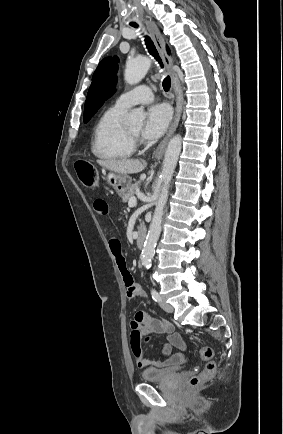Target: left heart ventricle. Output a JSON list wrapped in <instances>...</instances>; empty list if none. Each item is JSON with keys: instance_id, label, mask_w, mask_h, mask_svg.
<instances>
[{"instance_id": "b2bd125f", "label": "left heart ventricle", "mask_w": 283, "mask_h": 434, "mask_svg": "<svg viewBox=\"0 0 283 434\" xmlns=\"http://www.w3.org/2000/svg\"><path fill=\"white\" fill-rule=\"evenodd\" d=\"M129 130L135 134H139V132L141 131V125L131 127V128H129Z\"/></svg>"}]
</instances>
